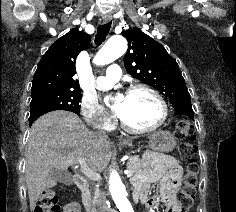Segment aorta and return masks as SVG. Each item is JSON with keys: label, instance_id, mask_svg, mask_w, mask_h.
Segmentation results:
<instances>
[{"label": "aorta", "instance_id": "1", "mask_svg": "<svg viewBox=\"0 0 236 212\" xmlns=\"http://www.w3.org/2000/svg\"><path fill=\"white\" fill-rule=\"evenodd\" d=\"M127 50V42L120 35L112 36L99 50L94 58V63L104 65L113 62L121 57ZM109 190L117 209L120 212H134L130 201L127 198L125 186L116 171L109 177Z\"/></svg>", "mask_w": 236, "mask_h": 212}]
</instances>
